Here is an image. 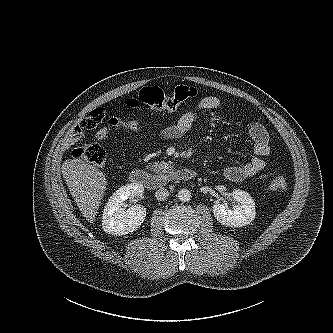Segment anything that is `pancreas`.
Instances as JSON below:
<instances>
[{"label": "pancreas", "instance_id": "pancreas-1", "mask_svg": "<svg viewBox=\"0 0 333 333\" xmlns=\"http://www.w3.org/2000/svg\"><path fill=\"white\" fill-rule=\"evenodd\" d=\"M151 169L155 171L156 173H169L173 170V165L171 163L167 162H160V163H154L153 165H150Z\"/></svg>", "mask_w": 333, "mask_h": 333}]
</instances>
